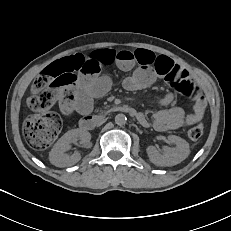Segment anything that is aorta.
I'll return each mask as SVG.
<instances>
[{"instance_id":"762f6f07","label":"aorta","mask_w":231,"mask_h":231,"mask_svg":"<svg viewBox=\"0 0 231 231\" xmlns=\"http://www.w3.org/2000/svg\"><path fill=\"white\" fill-rule=\"evenodd\" d=\"M126 120H127L126 116L124 114H122V113L117 114L115 116V123L117 125H124L126 123Z\"/></svg>"}]
</instances>
